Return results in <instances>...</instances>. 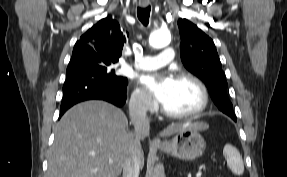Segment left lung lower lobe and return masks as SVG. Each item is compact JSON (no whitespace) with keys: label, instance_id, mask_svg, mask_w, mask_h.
Segmentation results:
<instances>
[{"label":"left lung lower lobe","instance_id":"left-lung-lower-lobe-1","mask_svg":"<svg viewBox=\"0 0 287 177\" xmlns=\"http://www.w3.org/2000/svg\"><path fill=\"white\" fill-rule=\"evenodd\" d=\"M234 121H236V117H231Z\"/></svg>","mask_w":287,"mask_h":177}]
</instances>
